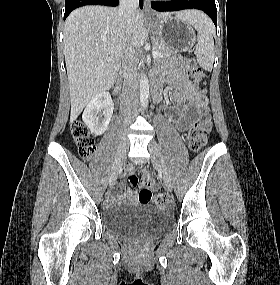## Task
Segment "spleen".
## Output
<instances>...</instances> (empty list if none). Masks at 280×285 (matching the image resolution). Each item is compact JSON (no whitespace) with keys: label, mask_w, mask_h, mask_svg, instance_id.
<instances>
[{"label":"spleen","mask_w":280,"mask_h":285,"mask_svg":"<svg viewBox=\"0 0 280 285\" xmlns=\"http://www.w3.org/2000/svg\"><path fill=\"white\" fill-rule=\"evenodd\" d=\"M187 20L197 31V45L195 55L199 66L207 71H211L215 57V47L213 40L214 25L203 13L194 11L192 17L178 15Z\"/></svg>","instance_id":"spleen-1"}]
</instances>
